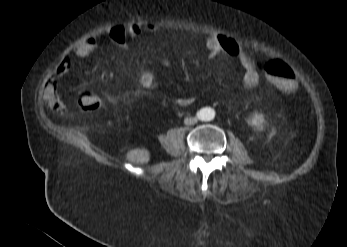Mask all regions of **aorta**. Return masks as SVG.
Listing matches in <instances>:
<instances>
[{"instance_id":"1","label":"aorta","mask_w":347,"mask_h":247,"mask_svg":"<svg viewBox=\"0 0 347 247\" xmlns=\"http://www.w3.org/2000/svg\"><path fill=\"white\" fill-rule=\"evenodd\" d=\"M198 116L203 121H211L214 118V111L210 108H204L199 112Z\"/></svg>"}]
</instances>
